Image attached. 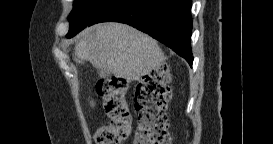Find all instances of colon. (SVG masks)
I'll list each match as a JSON object with an SVG mask.
<instances>
[{"mask_svg":"<svg viewBox=\"0 0 273 144\" xmlns=\"http://www.w3.org/2000/svg\"><path fill=\"white\" fill-rule=\"evenodd\" d=\"M171 73L167 64H161L147 74L136 89L138 125L136 144H170L167 104L172 97ZM128 84L125 79L111 77L100 80L96 90L102 99L108 123L95 133L97 144H119L131 131V115L125 100Z\"/></svg>","mask_w":273,"mask_h":144,"instance_id":"colon-1","label":"colon"}]
</instances>
